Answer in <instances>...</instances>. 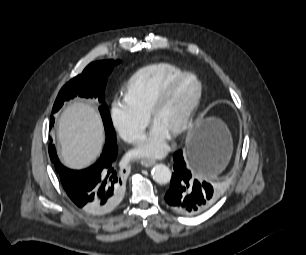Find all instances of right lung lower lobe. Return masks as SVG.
<instances>
[{"mask_svg": "<svg viewBox=\"0 0 306 255\" xmlns=\"http://www.w3.org/2000/svg\"><path fill=\"white\" fill-rule=\"evenodd\" d=\"M49 150L53 157H57L54 145L50 144ZM117 151L115 142L106 141L99 160L79 171L64 167L59 160L54 162L67 195L79 208L90 214L111 212L122 197V179L115 163Z\"/></svg>", "mask_w": 306, "mask_h": 255, "instance_id": "obj_1", "label": "right lung lower lobe"}]
</instances>
